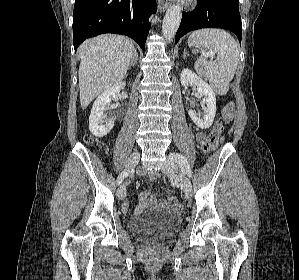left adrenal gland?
Masks as SVG:
<instances>
[{
    "label": "left adrenal gland",
    "mask_w": 299,
    "mask_h": 280,
    "mask_svg": "<svg viewBox=\"0 0 299 280\" xmlns=\"http://www.w3.org/2000/svg\"><path fill=\"white\" fill-rule=\"evenodd\" d=\"M187 51H186V49H184V53H183V59H186V57H187Z\"/></svg>",
    "instance_id": "obj_1"
}]
</instances>
